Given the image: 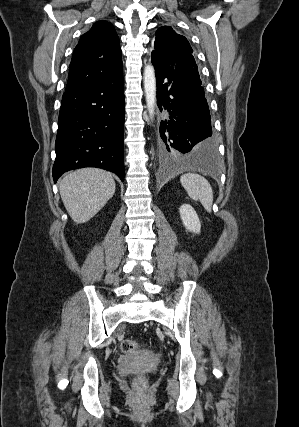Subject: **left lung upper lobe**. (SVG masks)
Listing matches in <instances>:
<instances>
[{
  "label": "left lung upper lobe",
  "instance_id": "obj_1",
  "mask_svg": "<svg viewBox=\"0 0 299 427\" xmlns=\"http://www.w3.org/2000/svg\"><path fill=\"white\" fill-rule=\"evenodd\" d=\"M155 35V51L170 52L180 48H186L190 52H193L186 37L176 33L170 26L160 27ZM191 76L196 82L202 84L197 65L193 66Z\"/></svg>",
  "mask_w": 299,
  "mask_h": 427
}]
</instances>
